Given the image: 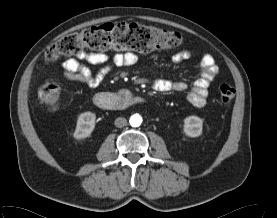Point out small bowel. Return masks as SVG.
Returning a JSON list of instances; mask_svg holds the SVG:
<instances>
[{
	"label": "small bowel",
	"instance_id": "small-bowel-1",
	"mask_svg": "<svg viewBox=\"0 0 277 218\" xmlns=\"http://www.w3.org/2000/svg\"><path fill=\"white\" fill-rule=\"evenodd\" d=\"M194 55L192 51L175 53L171 60L178 64ZM138 57L132 52L117 53L112 58L104 52H81L74 58H68L61 64L63 76L74 82L84 84L90 88L99 87L106 77L115 68L129 67L136 64ZM92 66H100L93 70ZM201 75L189 89L183 81H169L156 79L152 83L154 90L158 92H183L187 91V100L196 107L206 105L208 88L210 83L219 74V68L211 55H203L200 60Z\"/></svg>",
	"mask_w": 277,
	"mask_h": 218
}]
</instances>
